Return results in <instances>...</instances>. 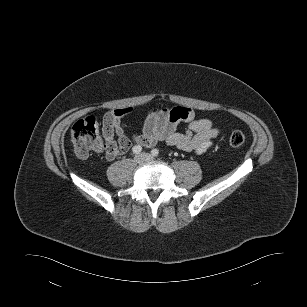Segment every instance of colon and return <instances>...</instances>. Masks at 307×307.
<instances>
[{"instance_id": "obj_1", "label": "colon", "mask_w": 307, "mask_h": 307, "mask_svg": "<svg viewBox=\"0 0 307 307\" xmlns=\"http://www.w3.org/2000/svg\"><path fill=\"white\" fill-rule=\"evenodd\" d=\"M71 141L76 155L80 158H86L92 151L104 150L107 146L103 136V128L101 134L100 123L93 116L74 123L71 129ZM228 143L232 147H240L245 143V135L240 131H235L230 135Z\"/></svg>"}]
</instances>
